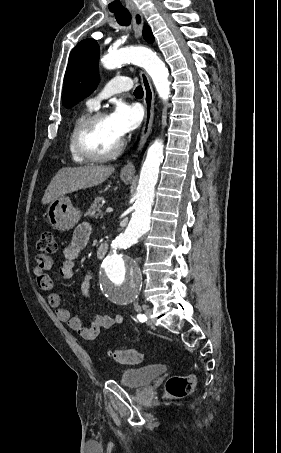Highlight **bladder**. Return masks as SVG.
I'll list each match as a JSON object with an SVG mask.
<instances>
[{
	"label": "bladder",
	"mask_w": 281,
	"mask_h": 453,
	"mask_svg": "<svg viewBox=\"0 0 281 453\" xmlns=\"http://www.w3.org/2000/svg\"><path fill=\"white\" fill-rule=\"evenodd\" d=\"M166 368L162 365H150L140 368L129 369L123 372L120 383L130 388H140L150 384L162 375Z\"/></svg>",
	"instance_id": "31cf9c89"
}]
</instances>
